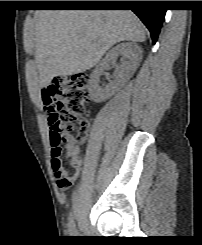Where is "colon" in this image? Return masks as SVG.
Returning <instances> with one entry per match:
<instances>
[{
    "mask_svg": "<svg viewBox=\"0 0 202 245\" xmlns=\"http://www.w3.org/2000/svg\"><path fill=\"white\" fill-rule=\"evenodd\" d=\"M54 112L48 114L49 139L53 148L64 141L65 133H78L79 141L87 136L88 122L85 119L86 103L89 100L88 76H59L56 78Z\"/></svg>",
    "mask_w": 202,
    "mask_h": 245,
    "instance_id": "5ec220e1",
    "label": "colon"
}]
</instances>
